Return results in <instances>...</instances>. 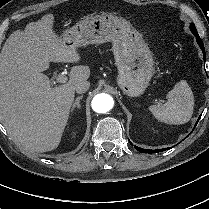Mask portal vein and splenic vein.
Segmentation results:
<instances>
[{
  "mask_svg": "<svg viewBox=\"0 0 209 209\" xmlns=\"http://www.w3.org/2000/svg\"><path fill=\"white\" fill-rule=\"evenodd\" d=\"M67 80H68V78L65 75H63L62 73L58 74L56 77V81L59 83H66Z\"/></svg>",
  "mask_w": 209,
  "mask_h": 209,
  "instance_id": "portal-vein-and-splenic-vein-1",
  "label": "portal vein and splenic vein"
}]
</instances>
